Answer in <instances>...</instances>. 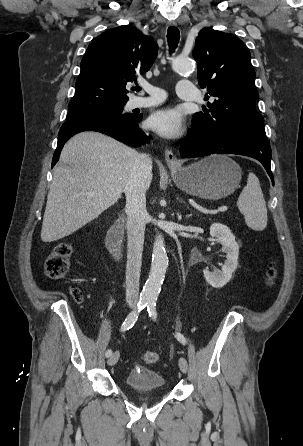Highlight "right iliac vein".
Masks as SVG:
<instances>
[{
  "label": "right iliac vein",
  "instance_id": "obj_1",
  "mask_svg": "<svg viewBox=\"0 0 303 446\" xmlns=\"http://www.w3.org/2000/svg\"><path fill=\"white\" fill-rule=\"evenodd\" d=\"M130 306L133 307L132 304H131ZM119 356H120V354H119L118 351L114 352V353L109 357V359H108V361H107L108 365H109V366H113V365H115V364L117 363L118 359H119Z\"/></svg>",
  "mask_w": 303,
  "mask_h": 446
}]
</instances>
